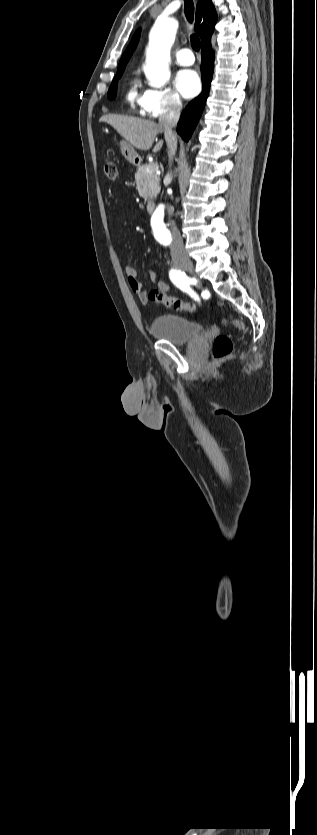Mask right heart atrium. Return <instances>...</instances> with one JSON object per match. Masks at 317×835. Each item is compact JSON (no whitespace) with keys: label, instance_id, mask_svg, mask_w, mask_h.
<instances>
[{"label":"right heart atrium","instance_id":"d8ad5b80","mask_svg":"<svg viewBox=\"0 0 317 835\" xmlns=\"http://www.w3.org/2000/svg\"><path fill=\"white\" fill-rule=\"evenodd\" d=\"M182 108L179 95L170 88L147 89L140 102L141 112L152 119L178 113Z\"/></svg>","mask_w":317,"mask_h":835}]
</instances>
